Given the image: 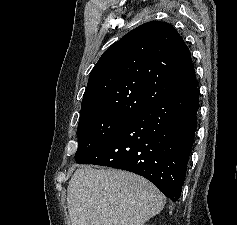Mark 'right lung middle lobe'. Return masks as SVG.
Instances as JSON below:
<instances>
[{
    "label": "right lung middle lobe",
    "mask_w": 237,
    "mask_h": 225,
    "mask_svg": "<svg viewBox=\"0 0 237 225\" xmlns=\"http://www.w3.org/2000/svg\"><path fill=\"white\" fill-rule=\"evenodd\" d=\"M133 116H93L79 119L78 149L75 161H79L97 146L121 129Z\"/></svg>",
    "instance_id": "right-lung-middle-lobe-1"
}]
</instances>
